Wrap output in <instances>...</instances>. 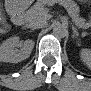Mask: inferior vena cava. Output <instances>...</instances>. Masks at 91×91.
Here are the masks:
<instances>
[{"label": "inferior vena cava", "mask_w": 91, "mask_h": 91, "mask_svg": "<svg viewBox=\"0 0 91 91\" xmlns=\"http://www.w3.org/2000/svg\"><path fill=\"white\" fill-rule=\"evenodd\" d=\"M45 25H46V23L43 20H39V21H35V22L32 21L29 24L30 28H32V29H40V28H43Z\"/></svg>", "instance_id": "inferior-vena-cava-1"}]
</instances>
